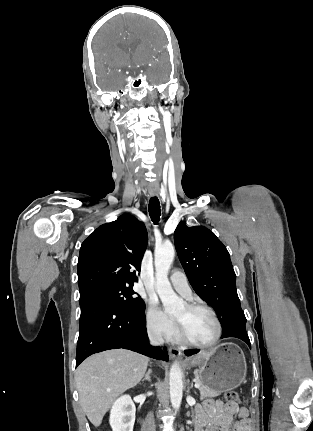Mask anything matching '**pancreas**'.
I'll return each instance as SVG.
<instances>
[{
    "instance_id": "obj_1",
    "label": "pancreas",
    "mask_w": 313,
    "mask_h": 431,
    "mask_svg": "<svg viewBox=\"0 0 313 431\" xmlns=\"http://www.w3.org/2000/svg\"><path fill=\"white\" fill-rule=\"evenodd\" d=\"M196 375L197 373L195 372L196 382L200 384V387L198 389L200 391V397L202 399L207 397H217L218 395H220V392L211 390L210 388L206 387Z\"/></svg>"
}]
</instances>
